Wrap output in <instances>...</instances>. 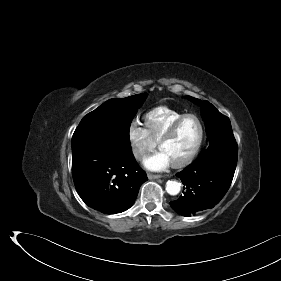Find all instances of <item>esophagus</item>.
Instances as JSON below:
<instances>
[{"mask_svg":"<svg viewBox=\"0 0 281 281\" xmlns=\"http://www.w3.org/2000/svg\"><path fill=\"white\" fill-rule=\"evenodd\" d=\"M147 176H148V178L150 180L162 178V175H159V174H151V173H149Z\"/></svg>","mask_w":281,"mask_h":281,"instance_id":"obj_1","label":"esophagus"}]
</instances>
